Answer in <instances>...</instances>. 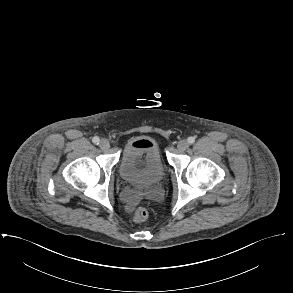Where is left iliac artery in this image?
<instances>
[{
  "instance_id": "44dca946",
  "label": "left iliac artery",
  "mask_w": 293,
  "mask_h": 293,
  "mask_svg": "<svg viewBox=\"0 0 293 293\" xmlns=\"http://www.w3.org/2000/svg\"><path fill=\"white\" fill-rule=\"evenodd\" d=\"M187 141H188L189 144H193L195 142V138L194 137H189L187 139Z\"/></svg>"
}]
</instances>
